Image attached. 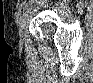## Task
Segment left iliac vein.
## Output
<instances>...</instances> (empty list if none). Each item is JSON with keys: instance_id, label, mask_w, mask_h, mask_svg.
Returning <instances> with one entry per match:
<instances>
[{"instance_id": "4c4485c4", "label": "left iliac vein", "mask_w": 93, "mask_h": 83, "mask_svg": "<svg viewBox=\"0 0 93 83\" xmlns=\"http://www.w3.org/2000/svg\"><path fill=\"white\" fill-rule=\"evenodd\" d=\"M31 13V10L29 9V11L26 13L23 14V16L21 17L20 19V23H19V35L21 38L24 37V30H25V26L27 24V20H28V17Z\"/></svg>"}]
</instances>
